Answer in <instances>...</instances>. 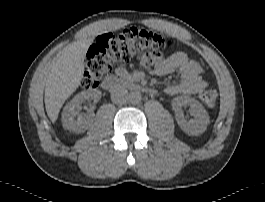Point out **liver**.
<instances>
[{
  "mask_svg": "<svg viewBox=\"0 0 265 202\" xmlns=\"http://www.w3.org/2000/svg\"><path fill=\"white\" fill-rule=\"evenodd\" d=\"M92 39L66 46L55 58L45 87V108L54 123L64 102L79 87L84 73V59Z\"/></svg>",
  "mask_w": 265,
  "mask_h": 202,
  "instance_id": "liver-1",
  "label": "liver"
}]
</instances>
